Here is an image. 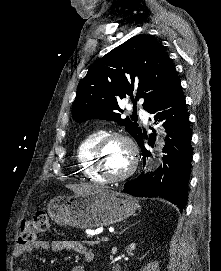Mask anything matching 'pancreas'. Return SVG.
<instances>
[{
  "label": "pancreas",
  "mask_w": 221,
  "mask_h": 271,
  "mask_svg": "<svg viewBox=\"0 0 221 271\" xmlns=\"http://www.w3.org/2000/svg\"><path fill=\"white\" fill-rule=\"evenodd\" d=\"M82 244H86V247H98L102 244V239H88V241H80Z\"/></svg>",
  "instance_id": "1"
}]
</instances>
